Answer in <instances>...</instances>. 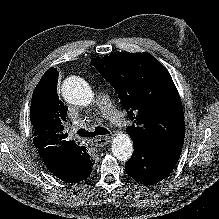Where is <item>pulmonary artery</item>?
<instances>
[{
    "label": "pulmonary artery",
    "mask_w": 219,
    "mask_h": 219,
    "mask_svg": "<svg viewBox=\"0 0 219 219\" xmlns=\"http://www.w3.org/2000/svg\"><path fill=\"white\" fill-rule=\"evenodd\" d=\"M97 101H98L100 107L103 109L106 116L110 120L117 121V120L121 119V115L114 108V106L112 105L108 96L105 93H98Z\"/></svg>",
    "instance_id": "obj_1"
}]
</instances>
